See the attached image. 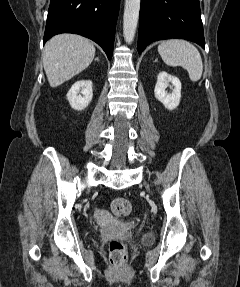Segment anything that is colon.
Segmentation results:
<instances>
[{
    "label": "colon",
    "mask_w": 240,
    "mask_h": 287,
    "mask_svg": "<svg viewBox=\"0 0 240 287\" xmlns=\"http://www.w3.org/2000/svg\"><path fill=\"white\" fill-rule=\"evenodd\" d=\"M111 211L116 217H126L132 211L131 202L123 197L115 198L111 203ZM109 259L114 267H121L127 259V250L123 242L112 240L109 243Z\"/></svg>",
    "instance_id": "colon-1"
}]
</instances>
